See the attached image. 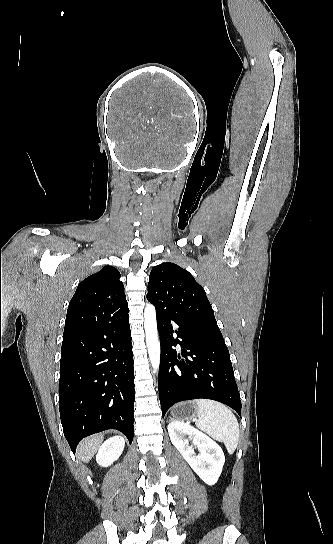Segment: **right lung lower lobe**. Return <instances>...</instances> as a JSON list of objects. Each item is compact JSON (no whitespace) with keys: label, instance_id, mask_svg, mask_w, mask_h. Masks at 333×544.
Returning a JSON list of instances; mask_svg holds the SVG:
<instances>
[{"label":"right lung lower lobe","instance_id":"right-lung-lower-lobe-1","mask_svg":"<svg viewBox=\"0 0 333 544\" xmlns=\"http://www.w3.org/2000/svg\"><path fill=\"white\" fill-rule=\"evenodd\" d=\"M128 313L63 337L59 411L73 453L81 439L107 429L134 427V367Z\"/></svg>","mask_w":333,"mask_h":544}]
</instances>
